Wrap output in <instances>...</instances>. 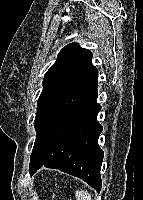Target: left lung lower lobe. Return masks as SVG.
Here are the masks:
<instances>
[{
    "instance_id": "left-lung-lower-lobe-1",
    "label": "left lung lower lobe",
    "mask_w": 143,
    "mask_h": 200,
    "mask_svg": "<svg viewBox=\"0 0 143 200\" xmlns=\"http://www.w3.org/2000/svg\"><path fill=\"white\" fill-rule=\"evenodd\" d=\"M98 71L90 62L75 79L47 102L34 121L36 139L29 173L42 166L79 177L101 190L103 151L98 145Z\"/></svg>"
}]
</instances>
